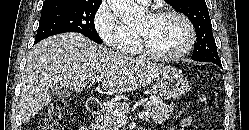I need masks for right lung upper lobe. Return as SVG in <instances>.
<instances>
[{
    "mask_svg": "<svg viewBox=\"0 0 249 130\" xmlns=\"http://www.w3.org/2000/svg\"><path fill=\"white\" fill-rule=\"evenodd\" d=\"M55 1H60V0H45L44 4H49V3H53ZM76 1H85V2H102V0H76Z\"/></svg>",
    "mask_w": 249,
    "mask_h": 130,
    "instance_id": "1",
    "label": "right lung upper lobe"
}]
</instances>
